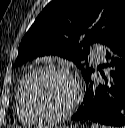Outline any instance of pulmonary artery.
<instances>
[{
	"mask_svg": "<svg viewBox=\"0 0 125 128\" xmlns=\"http://www.w3.org/2000/svg\"><path fill=\"white\" fill-rule=\"evenodd\" d=\"M93 56H95L98 60H103L104 58V51L102 49H94L92 52Z\"/></svg>",
	"mask_w": 125,
	"mask_h": 128,
	"instance_id": "1",
	"label": "pulmonary artery"
}]
</instances>
